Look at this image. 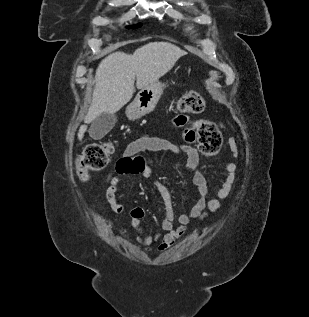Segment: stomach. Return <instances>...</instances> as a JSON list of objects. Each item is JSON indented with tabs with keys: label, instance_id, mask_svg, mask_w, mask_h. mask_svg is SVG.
I'll return each mask as SVG.
<instances>
[{
	"label": "stomach",
	"instance_id": "obj_1",
	"mask_svg": "<svg viewBox=\"0 0 309 317\" xmlns=\"http://www.w3.org/2000/svg\"><path fill=\"white\" fill-rule=\"evenodd\" d=\"M164 84L156 82L153 85L141 89L133 102L126 108V116L130 120H136L150 113L158 103Z\"/></svg>",
	"mask_w": 309,
	"mask_h": 317
}]
</instances>
